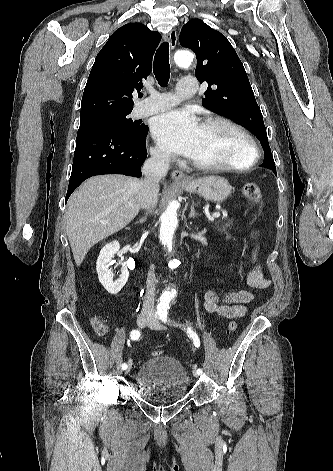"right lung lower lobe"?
<instances>
[{
  "label": "right lung lower lobe",
  "mask_w": 333,
  "mask_h": 471,
  "mask_svg": "<svg viewBox=\"0 0 333 471\" xmlns=\"http://www.w3.org/2000/svg\"><path fill=\"white\" fill-rule=\"evenodd\" d=\"M148 126L138 136L99 128L78 131L74 162L65 201L87 178L102 174L141 177L147 157Z\"/></svg>",
  "instance_id": "1"
}]
</instances>
